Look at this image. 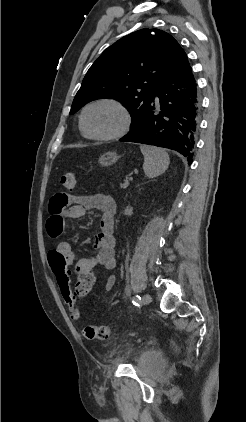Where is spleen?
<instances>
[{
  "label": "spleen",
  "instance_id": "spleen-1",
  "mask_svg": "<svg viewBox=\"0 0 246 422\" xmlns=\"http://www.w3.org/2000/svg\"><path fill=\"white\" fill-rule=\"evenodd\" d=\"M140 149L144 156L143 169L147 177H157L168 169L170 158L164 149L153 146H141Z\"/></svg>",
  "mask_w": 246,
  "mask_h": 422
}]
</instances>
